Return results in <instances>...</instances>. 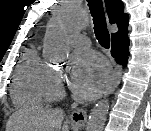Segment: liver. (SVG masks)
I'll return each instance as SVG.
<instances>
[{
	"label": "liver",
	"mask_w": 151,
	"mask_h": 131,
	"mask_svg": "<svg viewBox=\"0 0 151 131\" xmlns=\"http://www.w3.org/2000/svg\"><path fill=\"white\" fill-rule=\"evenodd\" d=\"M62 122L61 110L35 106L13 113L7 122L6 131H60Z\"/></svg>",
	"instance_id": "1"
}]
</instances>
